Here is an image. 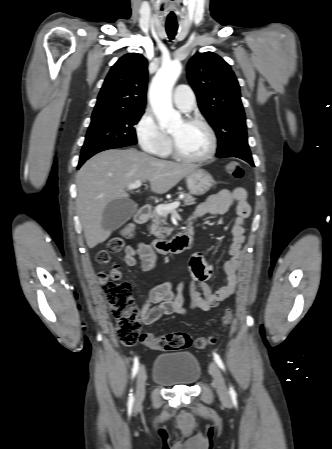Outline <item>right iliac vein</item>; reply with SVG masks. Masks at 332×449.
Here are the masks:
<instances>
[{
	"instance_id": "right-iliac-vein-1",
	"label": "right iliac vein",
	"mask_w": 332,
	"mask_h": 449,
	"mask_svg": "<svg viewBox=\"0 0 332 449\" xmlns=\"http://www.w3.org/2000/svg\"><path fill=\"white\" fill-rule=\"evenodd\" d=\"M146 370L144 366H141L136 381V393H135V403L140 405L145 397V384H146Z\"/></svg>"
}]
</instances>
